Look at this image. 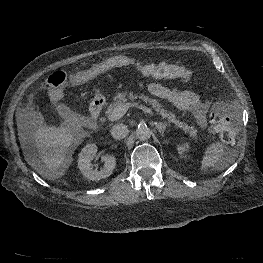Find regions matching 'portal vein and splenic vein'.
<instances>
[{"mask_svg": "<svg viewBox=\"0 0 263 263\" xmlns=\"http://www.w3.org/2000/svg\"><path fill=\"white\" fill-rule=\"evenodd\" d=\"M138 107L139 109H142L144 112L154 115V113L146 106L138 105L137 103H120L114 111L111 113V115L108 116V119L111 121L119 120L121 117L124 116V114L128 111L130 107Z\"/></svg>", "mask_w": 263, "mask_h": 263, "instance_id": "obj_1", "label": "portal vein and splenic vein"}]
</instances>
